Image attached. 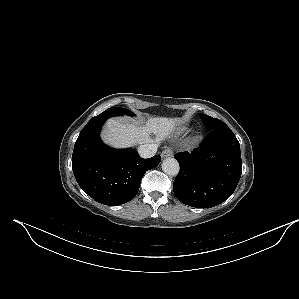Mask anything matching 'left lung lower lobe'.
Returning <instances> with one entry per match:
<instances>
[{
    "instance_id": "left-lung-lower-lobe-1",
    "label": "left lung lower lobe",
    "mask_w": 299,
    "mask_h": 299,
    "mask_svg": "<svg viewBox=\"0 0 299 299\" xmlns=\"http://www.w3.org/2000/svg\"><path fill=\"white\" fill-rule=\"evenodd\" d=\"M180 171L173 183L176 198L196 208L227 200L242 173L239 142L226 124L217 126L191 153L175 155Z\"/></svg>"
}]
</instances>
